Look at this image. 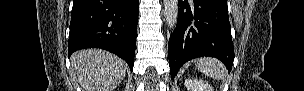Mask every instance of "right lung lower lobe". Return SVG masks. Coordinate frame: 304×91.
<instances>
[{"mask_svg": "<svg viewBox=\"0 0 304 91\" xmlns=\"http://www.w3.org/2000/svg\"><path fill=\"white\" fill-rule=\"evenodd\" d=\"M138 0H74L68 56L83 48H102L124 59L133 70Z\"/></svg>", "mask_w": 304, "mask_h": 91, "instance_id": "right-lung-lower-lobe-1", "label": "right lung lower lobe"}]
</instances>
